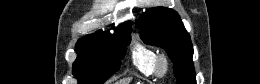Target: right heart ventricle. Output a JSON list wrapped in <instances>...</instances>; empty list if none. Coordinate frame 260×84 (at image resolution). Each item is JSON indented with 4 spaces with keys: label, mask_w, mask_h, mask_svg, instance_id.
<instances>
[{
    "label": "right heart ventricle",
    "mask_w": 260,
    "mask_h": 84,
    "mask_svg": "<svg viewBox=\"0 0 260 84\" xmlns=\"http://www.w3.org/2000/svg\"><path fill=\"white\" fill-rule=\"evenodd\" d=\"M156 58L157 53L153 49L139 43L135 45L132 53L133 64L143 75L156 74Z\"/></svg>",
    "instance_id": "obj_1"
}]
</instances>
